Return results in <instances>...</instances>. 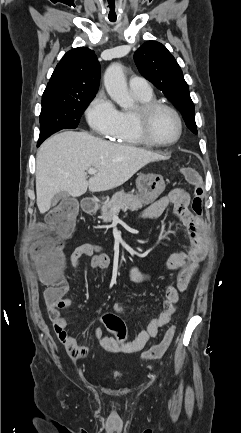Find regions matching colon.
<instances>
[{
    "label": "colon",
    "instance_id": "obj_1",
    "mask_svg": "<svg viewBox=\"0 0 241 433\" xmlns=\"http://www.w3.org/2000/svg\"><path fill=\"white\" fill-rule=\"evenodd\" d=\"M184 175L195 185L192 209L200 214L202 211L203 187L198 174L192 169H185ZM81 208L77 200H58L55 211L48 217V235L36 234L32 245V255L37 265V271L41 280L48 286L45 290V298L48 304H54L63 297L65 281L61 274L63 264L62 248L63 238L68 236L74 225V214H80ZM190 276L182 273L178 277L177 284L185 290L189 284ZM103 327L111 330L115 341L112 344L117 352L124 350L127 342L125 324L119 318L118 313L101 315ZM175 334L174 327H170L161 341L150 347L142 354L143 359L152 360L161 358L171 345Z\"/></svg>",
    "mask_w": 241,
    "mask_h": 433
}]
</instances>
